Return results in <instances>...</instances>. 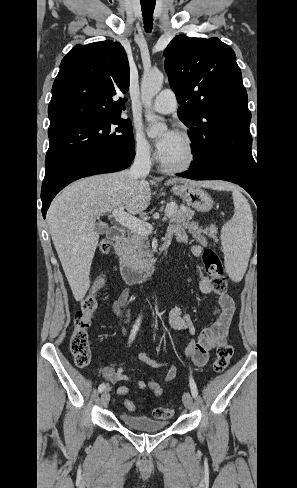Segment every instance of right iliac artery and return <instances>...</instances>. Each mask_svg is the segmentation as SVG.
<instances>
[{
  "mask_svg": "<svg viewBox=\"0 0 297 488\" xmlns=\"http://www.w3.org/2000/svg\"><path fill=\"white\" fill-rule=\"evenodd\" d=\"M140 322H141V316L136 320V322H135V324H134V326L132 328L131 334L129 336V344L134 340V338L136 336V333H137V331L139 329ZM104 389H105V384L102 383L98 387V392L101 393V392L104 391Z\"/></svg>",
  "mask_w": 297,
  "mask_h": 488,
  "instance_id": "1",
  "label": "right iliac artery"
}]
</instances>
